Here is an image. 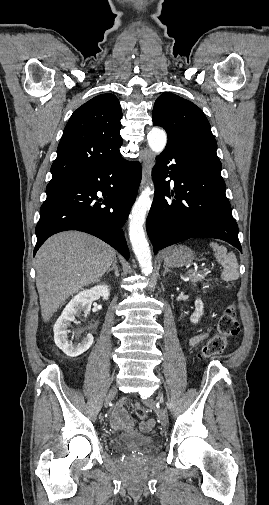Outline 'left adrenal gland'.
Wrapping results in <instances>:
<instances>
[{
    "mask_svg": "<svg viewBox=\"0 0 269 505\" xmlns=\"http://www.w3.org/2000/svg\"><path fill=\"white\" fill-rule=\"evenodd\" d=\"M171 272L166 266H164V272H163V277L165 276L166 273Z\"/></svg>",
    "mask_w": 269,
    "mask_h": 505,
    "instance_id": "a2214340",
    "label": "left adrenal gland"
}]
</instances>
